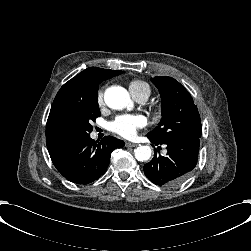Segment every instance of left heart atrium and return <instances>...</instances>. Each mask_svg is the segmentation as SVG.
I'll return each mask as SVG.
<instances>
[{"label": "left heart atrium", "instance_id": "left-heart-atrium-1", "mask_svg": "<svg viewBox=\"0 0 251 251\" xmlns=\"http://www.w3.org/2000/svg\"><path fill=\"white\" fill-rule=\"evenodd\" d=\"M145 123L146 120L142 115L123 114L111 121L108 128L122 137H130L135 134L137 129L143 127Z\"/></svg>", "mask_w": 251, "mask_h": 251}]
</instances>
